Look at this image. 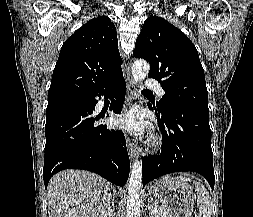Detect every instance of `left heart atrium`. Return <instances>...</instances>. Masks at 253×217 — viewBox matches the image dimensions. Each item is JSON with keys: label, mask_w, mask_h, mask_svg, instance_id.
I'll list each match as a JSON object with an SVG mask.
<instances>
[{"label": "left heart atrium", "mask_w": 253, "mask_h": 217, "mask_svg": "<svg viewBox=\"0 0 253 217\" xmlns=\"http://www.w3.org/2000/svg\"><path fill=\"white\" fill-rule=\"evenodd\" d=\"M117 124L132 133H141L146 128V125L135 111H129L128 113L119 116Z\"/></svg>", "instance_id": "1"}]
</instances>
